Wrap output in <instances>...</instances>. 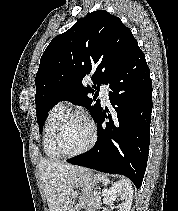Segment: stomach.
<instances>
[{"label": "stomach", "instance_id": "0dacf381", "mask_svg": "<svg viewBox=\"0 0 178 211\" xmlns=\"http://www.w3.org/2000/svg\"><path fill=\"white\" fill-rule=\"evenodd\" d=\"M97 180L93 172L80 174L70 191L66 211H80L85 206L86 201L92 195Z\"/></svg>", "mask_w": 178, "mask_h": 211}]
</instances>
